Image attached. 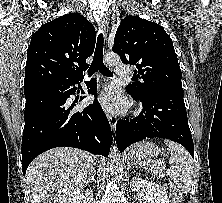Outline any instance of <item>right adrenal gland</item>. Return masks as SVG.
<instances>
[{"mask_svg": "<svg viewBox=\"0 0 222 203\" xmlns=\"http://www.w3.org/2000/svg\"><path fill=\"white\" fill-rule=\"evenodd\" d=\"M95 181V178H94V176H91V178L89 179V181L86 183V185L88 184H90V183H92V182H94Z\"/></svg>", "mask_w": 222, "mask_h": 203, "instance_id": "right-adrenal-gland-1", "label": "right adrenal gland"}]
</instances>
